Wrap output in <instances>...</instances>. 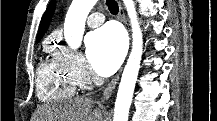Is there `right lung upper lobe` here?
Segmentation results:
<instances>
[{"instance_id":"1","label":"right lung upper lobe","mask_w":217,"mask_h":121,"mask_svg":"<svg viewBox=\"0 0 217 121\" xmlns=\"http://www.w3.org/2000/svg\"><path fill=\"white\" fill-rule=\"evenodd\" d=\"M54 8H55V2L53 1L49 4L47 10L45 11V13L41 19L39 30H38V35H37V41H39L42 38V36L44 35V33H45V31L49 25L50 19L52 17Z\"/></svg>"}]
</instances>
